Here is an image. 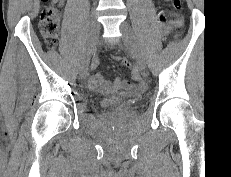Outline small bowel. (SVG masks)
<instances>
[{"label": "small bowel", "mask_w": 231, "mask_h": 177, "mask_svg": "<svg viewBox=\"0 0 231 177\" xmlns=\"http://www.w3.org/2000/svg\"><path fill=\"white\" fill-rule=\"evenodd\" d=\"M65 0H60V5H64ZM170 31V26L165 27L164 34H167ZM115 58V57H114ZM133 76L135 78L138 77V73L136 70L133 71ZM89 87L92 91L106 94L121 88L127 90H135L136 92H142L145 87L143 85H139L137 88H134L132 83L121 78H116L112 81L106 80L101 72H97L93 74L89 78Z\"/></svg>", "instance_id": "c3829d8e"}]
</instances>
